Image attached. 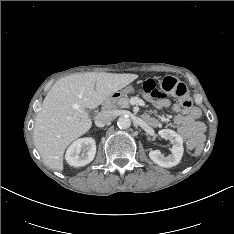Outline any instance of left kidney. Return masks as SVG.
<instances>
[{
  "instance_id": "5707ae66",
  "label": "left kidney",
  "mask_w": 234,
  "mask_h": 234,
  "mask_svg": "<svg viewBox=\"0 0 234 234\" xmlns=\"http://www.w3.org/2000/svg\"><path fill=\"white\" fill-rule=\"evenodd\" d=\"M158 134L161 138L169 140L173 144L171 154L164 156L159 150H151L149 152L150 159L157 165L165 168L178 165L184 152L182 137L170 129H162Z\"/></svg>"
}]
</instances>
